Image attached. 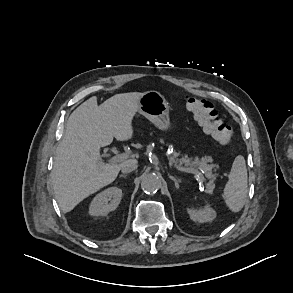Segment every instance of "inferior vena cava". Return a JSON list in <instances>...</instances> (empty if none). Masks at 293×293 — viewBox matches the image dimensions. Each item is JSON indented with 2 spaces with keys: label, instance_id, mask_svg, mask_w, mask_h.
Segmentation results:
<instances>
[{
  "label": "inferior vena cava",
  "instance_id": "1",
  "mask_svg": "<svg viewBox=\"0 0 293 293\" xmlns=\"http://www.w3.org/2000/svg\"><path fill=\"white\" fill-rule=\"evenodd\" d=\"M137 167H138L137 161L134 159H131L122 163L121 171L122 173H130L134 171L135 169H137Z\"/></svg>",
  "mask_w": 293,
  "mask_h": 293
}]
</instances>
